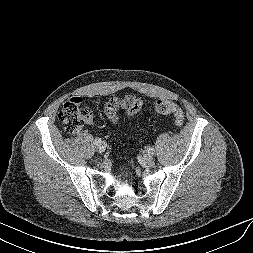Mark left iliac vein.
<instances>
[{"mask_svg":"<svg viewBox=\"0 0 253 253\" xmlns=\"http://www.w3.org/2000/svg\"><path fill=\"white\" fill-rule=\"evenodd\" d=\"M143 157L147 163L152 164V162H153V153L152 152L145 150L143 152Z\"/></svg>","mask_w":253,"mask_h":253,"instance_id":"4c4485c4","label":"left iliac vein"}]
</instances>
